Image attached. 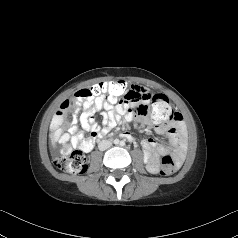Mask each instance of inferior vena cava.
<instances>
[{
	"mask_svg": "<svg viewBox=\"0 0 238 238\" xmlns=\"http://www.w3.org/2000/svg\"><path fill=\"white\" fill-rule=\"evenodd\" d=\"M111 145H112V142H111V141H109V140H102V141H100V143L98 144V148H99L100 151H104V150L110 148Z\"/></svg>",
	"mask_w": 238,
	"mask_h": 238,
	"instance_id": "602c4592",
	"label": "inferior vena cava"
}]
</instances>
